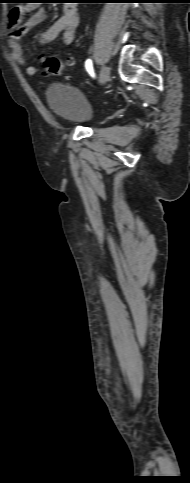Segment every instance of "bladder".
Listing matches in <instances>:
<instances>
[{
	"label": "bladder",
	"instance_id": "bladder-1",
	"mask_svg": "<svg viewBox=\"0 0 190 483\" xmlns=\"http://www.w3.org/2000/svg\"><path fill=\"white\" fill-rule=\"evenodd\" d=\"M45 98L51 111L67 122L85 124L93 118L89 101L71 85L55 83L48 88Z\"/></svg>",
	"mask_w": 190,
	"mask_h": 483
}]
</instances>
